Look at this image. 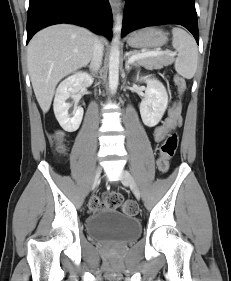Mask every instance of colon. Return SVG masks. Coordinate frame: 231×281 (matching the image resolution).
Segmentation results:
<instances>
[{"mask_svg":"<svg viewBox=\"0 0 231 281\" xmlns=\"http://www.w3.org/2000/svg\"><path fill=\"white\" fill-rule=\"evenodd\" d=\"M174 83L177 87L179 96L181 97L187 88L186 81L183 77L176 75L174 77ZM62 133L55 132L50 136V140L55 149L62 153L64 146L62 143ZM178 145V136L175 132H171L164 140L159 149V156L157 159V168L161 173H166L169 169L170 159L174 156ZM89 210L97 211L103 207L118 208L122 206L124 213L129 215H135L138 213V206L132 200H127L123 203V197L118 192H109L103 198L94 197L89 201Z\"/></svg>","mask_w":231,"mask_h":281,"instance_id":"colon-1","label":"colon"}]
</instances>
